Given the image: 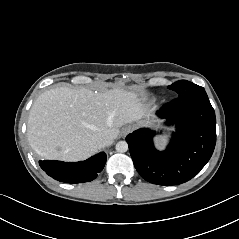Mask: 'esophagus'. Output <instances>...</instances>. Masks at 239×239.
<instances>
[{
  "label": "esophagus",
  "instance_id": "esophagus-1",
  "mask_svg": "<svg viewBox=\"0 0 239 239\" xmlns=\"http://www.w3.org/2000/svg\"><path fill=\"white\" fill-rule=\"evenodd\" d=\"M134 129V126L133 125H127L125 127L122 128V135L123 136H126L127 134L131 133Z\"/></svg>",
  "mask_w": 239,
  "mask_h": 239
}]
</instances>
